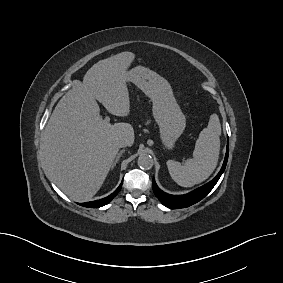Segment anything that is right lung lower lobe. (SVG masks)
<instances>
[{"label": "right lung lower lobe", "instance_id": "right-lung-lower-lobe-1", "mask_svg": "<svg viewBox=\"0 0 283 283\" xmlns=\"http://www.w3.org/2000/svg\"><path fill=\"white\" fill-rule=\"evenodd\" d=\"M123 182H121L120 186L109 196L100 199V200H96V201H91V202H86V203H80L79 205L84 206V207H89V208H98V207H102L106 204H108L120 191L121 187H122Z\"/></svg>", "mask_w": 283, "mask_h": 283}]
</instances>
